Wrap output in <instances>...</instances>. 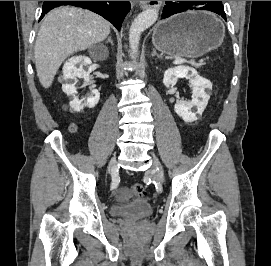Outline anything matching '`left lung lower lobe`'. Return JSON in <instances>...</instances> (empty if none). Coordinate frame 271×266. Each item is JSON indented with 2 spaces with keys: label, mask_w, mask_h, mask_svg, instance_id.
<instances>
[{
  "label": "left lung lower lobe",
  "mask_w": 271,
  "mask_h": 266,
  "mask_svg": "<svg viewBox=\"0 0 271 266\" xmlns=\"http://www.w3.org/2000/svg\"><path fill=\"white\" fill-rule=\"evenodd\" d=\"M192 9L212 11L226 20V14L221 1H166L161 17L165 19L174 14Z\"/></svg>",
  "instance_id": "left-lung-lower-lobe-1"
}]
</instances>
